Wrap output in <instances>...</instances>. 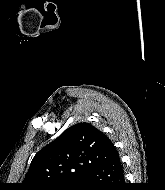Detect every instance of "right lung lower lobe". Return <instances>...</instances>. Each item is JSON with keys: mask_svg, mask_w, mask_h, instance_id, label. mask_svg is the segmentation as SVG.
I'll return each mask as SVG.
<instances>
[{"mask_svg": "<svg viewBox=\"0 0 165 190\" xmlns=\"http://www.w3.org/2000/svg\"><path fill=\"white\" fill-rule=\"evenodd\" d=\"M80 190H125L123 167L119 155L89 169L81 177Z\"/></svg>", "mask_w": 165, "mask_h": 190, "instance_id": "obj_1", "label": "right lung lower lobe"}]
</instances>
